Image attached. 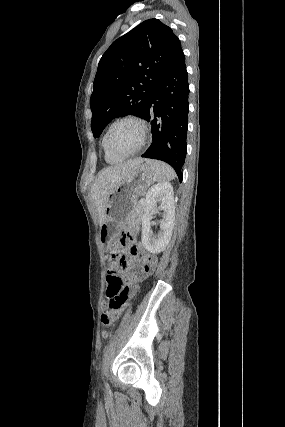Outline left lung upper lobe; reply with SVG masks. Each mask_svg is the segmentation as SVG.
I'll return each instance as SVG.
<instances>
[{
	"instance_id": "left-lung-upper-lobe-1",
	"label": "left lung upper lobe",
	"mask_w": 285,
	"mask_h": 427,
	"mask_svg": "<svg viewBox=\"0 0 285 427\" xmlns=\"http://www.w3.org/2000/svg\"><path fill=\"white\" fill-rule=\"evenodd\" d=\"M181 51L178 37L158 19L146 20L115 40L101 57L94 79V137L116 117H142L155 87Z\"/></svg>"
}]
</instances>
